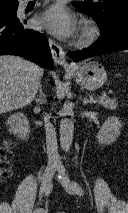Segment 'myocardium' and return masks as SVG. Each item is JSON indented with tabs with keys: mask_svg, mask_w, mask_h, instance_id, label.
<instances>
[{
	"mask_svg": "<svg viewBox=\"0 0 128 213\" xmlns=\"http://www.w3.org/2000/svg\"><path fill=\"white\" fill-rule=\"evenodd\" d=\"M99 35V29L95 23L90 20L83 21L76 40V46L83 48L91 45Z\"/></svg>",
	"mask_w": 128,
	"mask_h": 213,
	"instance_id": "myocardium-1",
	"label": "myocardium"
}]
</instances>
